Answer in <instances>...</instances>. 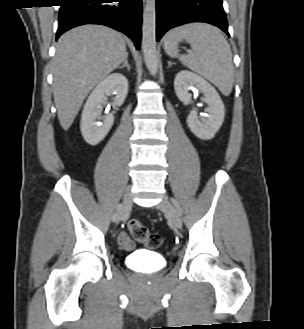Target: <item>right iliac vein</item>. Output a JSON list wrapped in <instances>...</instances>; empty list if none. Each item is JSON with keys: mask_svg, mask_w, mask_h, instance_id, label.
<instances>
[{"mask_svg": "<svg viewBox=\"0 0 304 329\" xmlns=\"http://www.w3.org/2000/svg\"><path fill=\"white\" fill-rule=\"evenodd\" d=\"M131 206H132L131 192L129 189H127L123 196L122 207L116 218L115 221L116 223H118L123 217H125L128 214V212L131 209Z\"/></svg>", "mask_w": 304, "mask_h": 329, "instance_id": "right-iliac-vein-1", "label": "right iliac vein"}]
</instances>
